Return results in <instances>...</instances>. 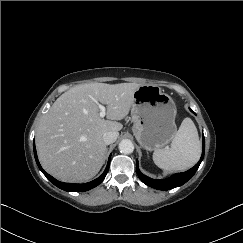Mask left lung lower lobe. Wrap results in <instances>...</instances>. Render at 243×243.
<instances>
[{
	"mask_svg": "<svg viewBox=\"0 0 243 243\" xmlns=\"http://www.w3.org/2000/svg\"><path fill=\"white\" fill-rule=\"evenodd\" d=\"M204 152H205V139L203 138L202 156H201L199 162L194 167L189 169L188 171L183 172V173H176L167 179L155 180V179H151V178L143 175L138 168V161L136 163V171H137V174H138V177L140 178V180L147 186L158 189V190H170L175 187L183 185L195 174V172L197 171L199 165L201 164V162L203 160Z\"/></svg>",
	"mask_w": 243,
	"mask_h": 243,
	"instance_id": "0a47b994",
	"label": "left lung lower lobe"
}]
</instances>
